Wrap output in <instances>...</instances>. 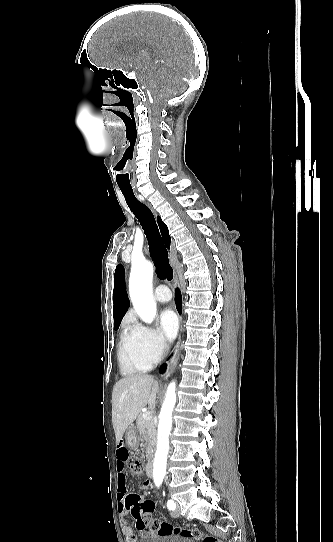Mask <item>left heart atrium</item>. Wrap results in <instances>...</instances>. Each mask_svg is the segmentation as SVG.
I'll return each instance as SVG.
<instances>
[{"label": "left heart atrium", "instance_id": "obj_1", "mask_svg": "<svg viewBox=\"0 0 333 542\" xmlns=\"http://www.w3.org/2000/svg\"><path fill=\"white\" fill-rule=\"evenodd\" d=\"M178 318L171 309H166L161 313L160 326L164 336L168 340H173L178 331Z\"/></svg>", "mask_w": 333, "mask_h": 542}]
</instances>
